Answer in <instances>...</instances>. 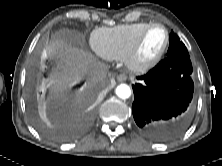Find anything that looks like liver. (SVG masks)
<instances>
[{
	"label": "liver",
	"instance_id": "obj_1",
	"mask_svg": "<svg viewBox=\"0 0 222 166\" xmlns=\"http://www.w3.org/2000/svg\"><path fill=\"white\" fill-rule=\"evenodd\" d=\"M47 49L49 57L56 60V68L48 84L51 100L59 101L67 88L86 76L92 66L102 64L91 53L62 40L50 42Z\"/></svg>",
	"mask_w": 222,
	"mask_h": 166
}]
</instances>
